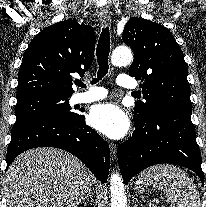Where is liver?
<instances>
[{"label": "liver", "mask_w": 206, "mask_h": 207, "mask_svg": "<svg viewBox=\"0 0 206 207\" xmlns=\"http://www.w3.org/2000/svg\"><path fill=\"white\" fill-rule=\"evenodd\" d=\"M92 177L73 155L56 148H35L10 165L4 192L8 207H77Z\"/></svg>", "instance_id": "1"}]
</instances>
